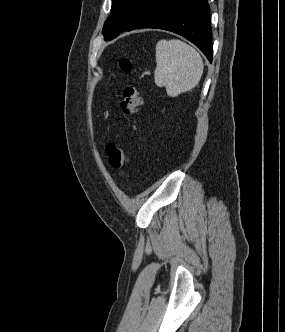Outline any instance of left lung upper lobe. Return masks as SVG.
Wrapping results in <instances>:
<instances>
[{
	"label": "left lung upper lobe",
	"mask_w": 285,
	"mask_h": 332,
	"mask_svg": "<svg viewBox=\"0 0 285 332\" xmlns=\"http://www.w3.org/2000/svg\"><path fill=\"white\" fill-rule=\"evenodd\" d=\"M152 0H112L111 16L105 21L103 34L106 41L125 30Z\"/></svg>",
	"instance_id": "obj_1"
}]
</instances>
